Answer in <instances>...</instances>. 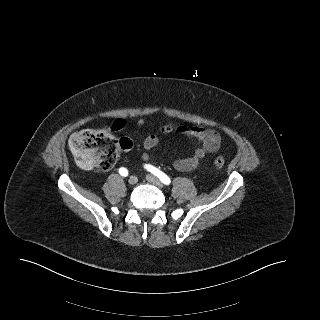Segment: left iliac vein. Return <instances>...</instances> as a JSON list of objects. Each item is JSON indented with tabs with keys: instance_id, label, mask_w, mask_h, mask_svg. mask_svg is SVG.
I'll use <instances>...</instances> for the list:
<instances>
[{
	"instance_id": "1",
	"label": "left iliac vein",
	"mask_w": 320,
	"mask_h": 320,
	"mask_svg": "<svg viewBox=\"0 0 320 320\" xmlns=\"http://www.w3.org/2000/svg\"><path fill=\"white\" fill-rule=\"evenodd\" d=\"M146 179H147V181L150 182L151 184H153V185H155V186H157V187H159V188H163L162 182H161L157 177L148 174V175L146 176Z\"/></svg>"
}]
</instances>
